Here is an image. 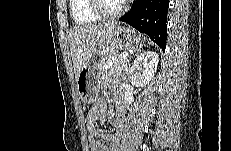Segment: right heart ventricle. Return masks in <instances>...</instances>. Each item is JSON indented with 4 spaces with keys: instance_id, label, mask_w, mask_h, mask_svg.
<instances>
[{
    "instance_id": "e07e8e85",
    "label": "right heart ventricle",
    "mask_w": 231,
    "mask_h": 151,
    "mask_svg": "<svg viewBox=\"0 0 231 151\" xmlns=\"http://www.w3.org/2000/svg\"><path fill=\"white\" fill-rule=\"evenodd\" d=\"M91 0H71V14L76 24L89 25L98 22L90 6Z\"/></svg>"
}]
</instances>
